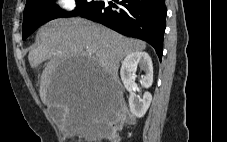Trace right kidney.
Here are the masks:
<instances>
[{
    "mask_svg": "<svg viewBox=\"0 0 227 142\" xmlns=\"http://www.w3.org/2000/svg\"><path fill=\"white\" fill-rule=\"evenodd\" d=\"M137 66L144 71V75L140 79L142 86L144 88L151 87L153 83V65L149 54L146 52L139 51L126 56L122 61L120 75L126 90L130 93V111L135 117L141 118L150 106L152 95L149 92H145L143 98H141L136 94L135 72Z\"/></svg>",
    "mask_w": 227,
    "mask_h": 142,
    "instance_id": "obj_1",
    "label": "right kidney"
}]
</instances>
